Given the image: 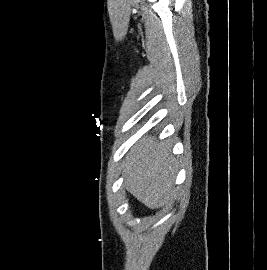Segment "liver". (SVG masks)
Returning a JSON list of instances; mask_svg holds the SVG:
<instances>
[{
	"instance_id": "liver-1",
	"label": "liver",
	"mask_w": 267,
	"mask_h": 270,
	"mask_svg": "<svg viewBox=\"0 0 267 270\" xmlns=\"http://www.w3.org/2000/svg\"><path fill=\"white\" fill-rule=\"evenodd\" d=\"M178 163L168 142L141 138L123 164L124 186L151 209L164 206L174 193Z\"/></svg>"
}]
</instances>
